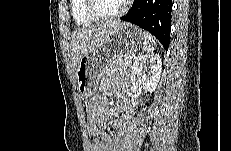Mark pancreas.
<instances>
[{
    "label": "pancreas",
    "mask_w": 231,
    "mask_h": 151,
    "mask_svg": "<svg viewBox=\"0 0 231 151\" xmlns=\"http://www.w3.org/2000/svg\"><path fill=\"white\" fill-rule=\"evenodd\" d=\"M131 60L126 59V55L118 56L106 70V74L115 73L117 71L128 72L131 67Z\"/></svg>",
    "instance_id": "pancreas-1"
}]
</instances>
